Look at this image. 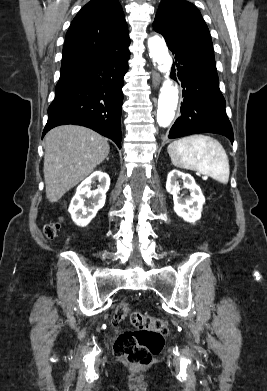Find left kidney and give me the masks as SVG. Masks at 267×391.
I'll list each match as a JSON object with an SVG mask.
<instances>
[{
    "mask_svg": "<svg viewBox=\"0 0 267 391\" xmlns=\"http://www.w3.org/2000/svg\"><path fill=\"white\" fill-rule=\"evenodd\" d=\"M179 179L183 180V187L190 191V196L182 197ZM166 190L173 195L174 211L179 217L189 223H195L201 218L205 198L191 175L172 170L167 177Z\"/></svg>",
    "mask_w": 267,
    "mask_h": 391,
    "instance_id": "obj_1",
    "label": "left kidney"
}]
</instances>
